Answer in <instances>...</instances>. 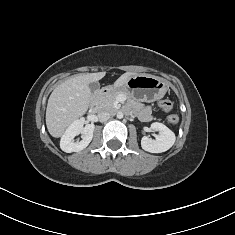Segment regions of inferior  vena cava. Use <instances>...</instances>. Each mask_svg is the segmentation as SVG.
Masks as SVG:
<instances>
[{"label": "inferior vena cava", "instance_id": "1", "mask_svg": "<svg viewBox=\"0 0 235 235\" xmlns=\"http://www.w3.org/2000/svg\"><path fill=\"white\" fill-rule=\"evenodd\" d=\"M110 116H111V114L107 110H101L98 113V118H99V121H101V122L107 121L110 118Z\"/></svg>", "mask_w": 235, "mask_h": 235}]
</instances>
